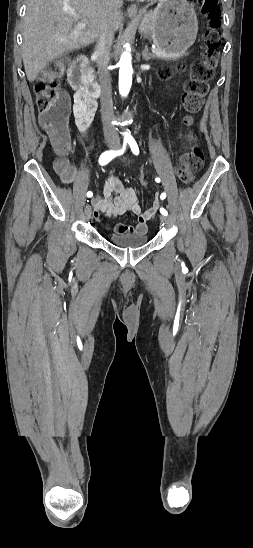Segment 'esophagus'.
<instances>
[{"label": "esophagus", "instance_id": "1", "mask_svg": "<svg viewBox=\"0 0 253 548\" xmlns=\"http://www.w3.org/2000/svg\"><path fill=\"white\" fill-rule=\"evenodd\" d=\"M138 13H139V9H138V6L136 4H131L128 8H127V14L130 16V17H137L138 16Z\"/></svg>", "mask_w": 253, "mask_h": 548}]
</instances>
